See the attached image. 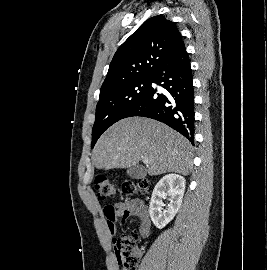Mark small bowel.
Masks as SVG:
<instances>
[{
	"mask_svg": "<svg viewBox=\"0 0 267 270\" xmlns=\"http://www.w3.org/2000/svg\"><path fill=\"white\" fill-rule=\"evenodd\" d=\"M137 216L139 219L138 232L142 237L150 234L151 220L146 205L139 200H129L116 203L104 208L107 229L112 237L115 236L117 222H125L130 216Z\"/></svg>",
	"mask_w": 267,
	"mask_h": 270,
	"instance_id": "obj_1",
	"label": "small bowel"
}]
</instances>
